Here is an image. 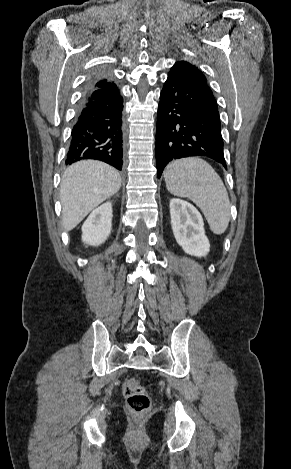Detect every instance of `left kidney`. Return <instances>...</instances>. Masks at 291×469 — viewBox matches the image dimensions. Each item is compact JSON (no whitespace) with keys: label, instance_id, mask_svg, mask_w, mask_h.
<instances>
[{"label":"left kidney","instance_id":"1","mask_svg":"<svg viewBox=\"0 0 291 469\" xmlns=\"http://www.w3.org/2000/svg\"><path fill=\"white\" fill-rule=\"evenodd\" d=\"M171 226L177 243L185 253L205 257L210 243L205 235L204 222L200 212L189 202L172 198L170 200Z\"/></svg>","mask_w":291,"mask_h":469}]
</instances>
